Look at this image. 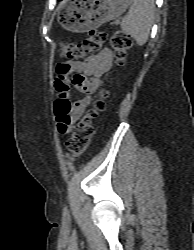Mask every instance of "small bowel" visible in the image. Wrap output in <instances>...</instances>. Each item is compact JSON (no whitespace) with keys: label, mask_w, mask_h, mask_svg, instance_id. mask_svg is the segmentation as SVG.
<instances>
[{"label":"small bowel","mask_w":194,"mask_h":250,"mask_svg":"<svg viewBox=\"0 0 194 250\" xmlns=\"http://www.w3.org/2000/svg\"><path fill=\"white\" fill-rule=\"evenodd\" d=\"M113 52L105 48L84 61L62 63L57 66L55 87L62 109L56 110L60 133H67L89 107L92 94L102 84V75L113 65ZM70 84L84 94L71 102Z\"/></svg>","instance_id":"1"}]
</instances>
